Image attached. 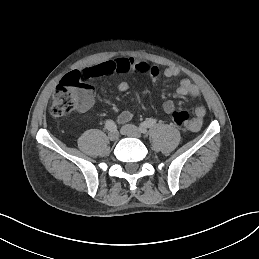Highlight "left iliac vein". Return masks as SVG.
<instances>
[{
	"mask_svg": "<svg viewBox=\"0 0 259 259\" xmlns=\"http://www.w3.org/2000/svg\"><path fill=\"white\" fill-rule=\"evenodd\" d=\"M122 133L124 135L130 136V137H135V138L142 137L141 130L138 127L131 125V124L124 125L122 127Z\"/></svg>",
	"mask_w": 259,
	"mask_h": 259,
	"instance_id": "obj_1",
	"label": "left iliac vein"
}]
</instances>
